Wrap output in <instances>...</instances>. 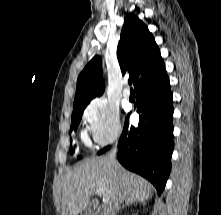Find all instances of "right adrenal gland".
<instances>
[{
    "label": "right adrenal gland",
    "mask_w": 221,
    "mask_h": 215,
    "mask_svg": "<svg viewBox=\"0 0 221 215\" xmlns=\"http://www.w3.org/2000/svg\"><path fill=\"white\" fill-rule=\"evenodd\" d=\"M131 204H132L131 202H127L125 205L122 206V208H124L125 206L127 207V206H129Z\"/></svg>",
    "instance_id": "right-adrenal-gland-1"
}]
</instances>
